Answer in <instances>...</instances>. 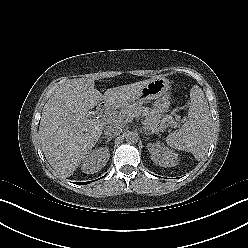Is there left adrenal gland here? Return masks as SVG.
<instances>
[{
    "label": "left adrenal gland",
    "instance_id": "left-adrenal-gland-1",
    "mask_svg": "<svg viewBox=\"0 0 248 248\" xmlns=\"http://www.w3.org/2000/svg\"><path fill=\"white\" fill-rule=\"evenodd\" d=\"M144 132H145L146 136H149V135L153 134V132H150V131H148L146 129L144 130Z\"/></svg>",
    "mask_w": 248,
    "mask_h": 248
}]
</instances>
